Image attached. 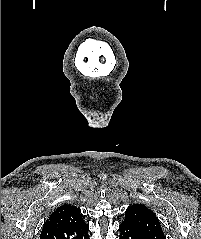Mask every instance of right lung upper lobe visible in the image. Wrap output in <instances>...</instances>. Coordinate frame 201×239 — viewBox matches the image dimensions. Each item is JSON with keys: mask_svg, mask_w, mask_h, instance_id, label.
Listing matches in <instances>:
<instances>
[{"mask_svg": "<svg viewBox=\"0 0 201 239\" xmlns=\"http://www.w3.org/2000/svg\"><path fill=\"white\" fill-rule=\"evenodd\" d=\"M88 230L79 208L62 205L44 223L40 239H85Z\"/></svg>", "mask_w": 201, "mask_h": 239, "instance_id": "right-lung-upper-lobe-1", "label": "right lung upper lobe"}]
</instances>
